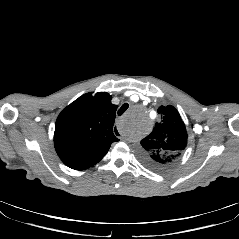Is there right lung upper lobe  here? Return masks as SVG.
<instances>
[{
    "label": "right lung upper lobe",
    "instance_id": "right-lung-upper-lobe-1",
    "mask_svg": "<svg viewBox=\"0 0 239 239\" xmlns=\"http://www.w3.org/2000/svg\"><path fill=\"white\" fill-rule=\"evenodd\" d=\"M117 105L106 92L87 93L67 106L55 124L54 146L65 165L75 170L98 163L118 138L113 134Z\"/></svg>",
    "mask_w": 239,
    "mask_h": 239
}]
</instances>
